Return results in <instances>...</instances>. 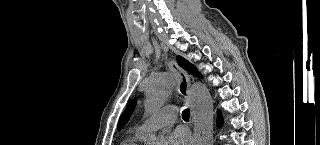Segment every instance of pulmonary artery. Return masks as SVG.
Instances as JSON below:
<instances>
[{
    "label": "pulmonary artery",
    "instance_id": "1",
    "mask_svg": "<svg viewBox=\"0 0 320 145\" xmlns=\"http://www.w3.org/2000/svg\"><path fill=\"white\" fill-rule=\"evenodd\" d=\"M177 117L176 107L168 105L136 127V131L146 135L160 128L172 125Z\"/></svg>",
    "mask_w": 320,
    "mask_h": 145
}]
</instances>
